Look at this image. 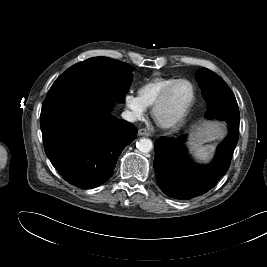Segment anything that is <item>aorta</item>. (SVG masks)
Instances as JSON below:
<instances>
[{
	"instance_id": "762f6f07",
	"label": "aorta",
	"mask_w": 267,
	"mask_h": 267,
	"mask_svg": "<svg viewBox=\"0 0 267 267\" xmlns=\"http://www.w3.org/2000/svg\"><path fill=\"white\" fill-rule=\"evenodd\" d=\"M137 149L142 153H148L153 148V143L148 138H142L136 143Z\"/></svg>"
}]
</instances>
